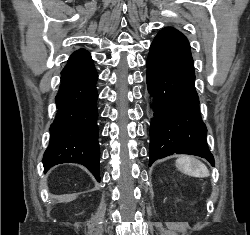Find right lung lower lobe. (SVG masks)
<instances>
[{"mask_svg":"<svg viewBox=\"0 0 250 235\" xmlns=\"http://www.w3.org/2000/svg\"><path fill=\"white\" fill-rule=\"evenodd\" d=\"M97 78L90 54L84 49L75 51L61 72L57 114L43 156L45 171L57 164L80 163L100 180Z\"/></svg>","mask_w":250,"mask_h":235,"instance_id":"obj_1","label":"right lung lower lobe"}]
</instances>
